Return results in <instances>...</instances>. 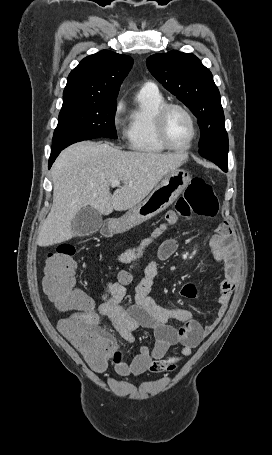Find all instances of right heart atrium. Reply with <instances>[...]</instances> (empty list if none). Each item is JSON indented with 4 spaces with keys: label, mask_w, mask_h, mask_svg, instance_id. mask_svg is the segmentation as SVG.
Listing matches in <instances>:
<instances>
[{
    "label": "right heart atrium",
    "mask_w": 272,
    "mask_h": 455,
    "mask_svg": "<svg viewBox=\"0 0 272 455\" xmlns=\"http://www.w3.org/2000/svg\"><path fill=\"white\" fill-rule=\"evenodd\" d=\"M124 110V104L123 102L119 101L116 104L115 110H114V123L119 124L121 122L120 116Z\"/></svg>",
    "instance_id": "obj_1"
}]
</instances>
